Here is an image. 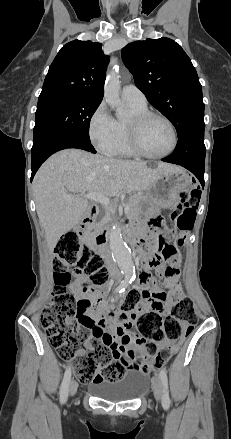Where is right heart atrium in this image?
<instances>
[{
  "instance_id": "1",
  "label": "right heart atrium",
  "mask_w": 231,
  "mask_h": 439,
  "mask_svg": "<svg viewBox=\"0 0 231 439\" xmlns=\"http://www.w3.org/2000/svg\"><path fill=\"white\" fill-rule=\"evenodd\" d=\"M88 135L94 147L102 152L109 149L116 140V121L104 101L97 105L89 118Z\"/></svg>"
}]
</instances>
